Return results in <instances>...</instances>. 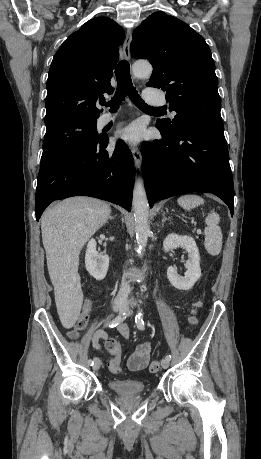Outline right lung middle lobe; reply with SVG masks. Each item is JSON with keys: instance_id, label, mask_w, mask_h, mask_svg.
Here are the masks:
<instances>
[{"instance_id": "dd1d6c3e", "label": "right lung middle lobe", "mask_w": 261, "mask_h": 459, "mask_svg": "<svg viewBox=\"0 0 261 459\" xmlns=\"http://www.w3.org/2000/svg\"><path fill=\"white\" fill-rule=\"evenodd\" d=\"M96 120H66L47 127L41 164L68 151L99 141Z\"/></svg>"}]
</instances>
